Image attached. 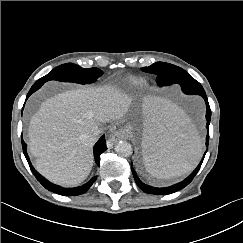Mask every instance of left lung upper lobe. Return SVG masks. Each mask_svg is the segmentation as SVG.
I'll use <instances>...</instances> for the list:
<instances>
[{
	"label": "left lung upper lobe",
	"mask_w": 243,
	"mask_h": 243,
	"mask_svg": "<svg viewBox=\"0 0 243 243\" xmlns=\"http://www.w3.org/2000/svg\"><path fill=\"white\" fill-rule=\"evenodd\" d=\"M142 70L147 73L156 74L158 76L157 83L159 86L177 83L181 87H184L199 83L184 69L165 62H156L149 67H143Z\"/></svg>",
	"instance_id": "1"
}]
</instances>
